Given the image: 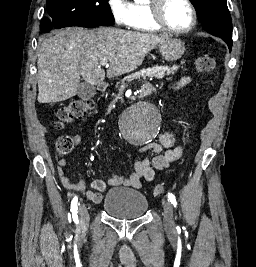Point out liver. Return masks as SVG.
I'll list each match as a JSON object with an SVG mask.
<instances>
[{
  "label": "liver",
  "mask_w": 256,
  "mask_h": 267,
  "mask_svg": "<svg viewBox=\"0 0 256 267\" xmlns=\"http://www.w3.org/2000/svg\"><path fill=\"white\" fill-rule=\"evenodd\" d=\"M169 36L119 28H64L43 40L38 54V102H64L76 96L80 78L100 86L107 78L129 74L146 54ZM102 62H110L105 74Z\"/></svg>",
  "instance_id": "1"
}]
</instances>
